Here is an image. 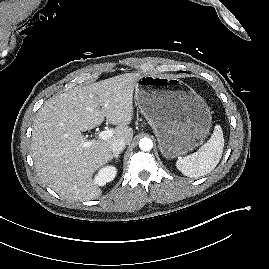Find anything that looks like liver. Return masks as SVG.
I'll return each instance as SVG.
<instances>
[{
  "mask_svg": "<svg viewBox=\"0 0 269 269\" xmlns=\"http://www.w3.org/2000/svg\"><path fill=\"white\" fill-rule=\"evenodd\" d=\"M141 73H125L74 88L47 100L33 122L32 158L38 176L61 197L73 201L98 198L93 174L111 160V143H130L133 91ZM116 125L108 140H87L81 132Z\"/></svg>",
  "mask_w": 269,
  "mask_h": 269,
  "instance_id": "6515ba94",
  "label": "liver"
}]
</instances>
